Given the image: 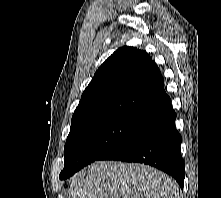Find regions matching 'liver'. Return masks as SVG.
Here are the masks:
<instances>
[{"label": "liver", "instance_id": "liver-1", "mask_svg": "<svg viewBox=\"0 0 221 198\" xmlns=\"http://www.w3.org/2000/svg\"><path fill=\"white\" fill-rule=\"evenodd\" d=\"M69 198H180L167 174L147 165L98 161L79 171Z\"/></svg>", "mask_w": 221, "mask_h": 198}]
</instances>
